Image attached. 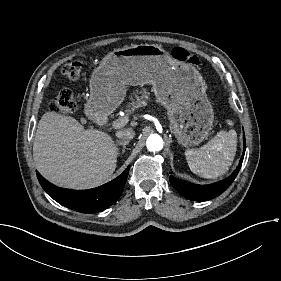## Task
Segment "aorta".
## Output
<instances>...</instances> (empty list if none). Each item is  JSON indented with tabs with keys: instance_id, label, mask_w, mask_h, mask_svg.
I'll list each match as a JSON object with an SVG mask.
<instances>
[{
	"instance_id": "aorta-1",
	"label": "aorta",
	"mask_w": 281,
	"mask_h": 281,
	"mask_svg": "<svg viewBox=\"0 0 281 281\" xmlns=\"http://www.w3.org/2000/svg\"><path fill=\"white\" fill-rule=\"evenodd\" d=\"M146 145L151 152L160 151L163 148V139L157 134H152L147 138Z\"/></svg>"
}]
</instances>
